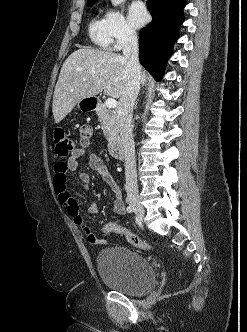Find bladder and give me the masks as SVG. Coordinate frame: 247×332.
<instances>
[{"mask_svg": "<svg viewBox=\"0 0 247 332\" xmlns=\"http://www.w3.org/2000/svg\"><path fill=\"white\" fill-rule=\"evenodd\" d=\"M96 267L107 287L126 295H143L156 283V272L148 259L128 247L102 249L97 255Z\"/></svg>", "mask_w": 247, "mask_h": 332, "instance_id": "obj_1", "label": "bladder"}]
</instances>
